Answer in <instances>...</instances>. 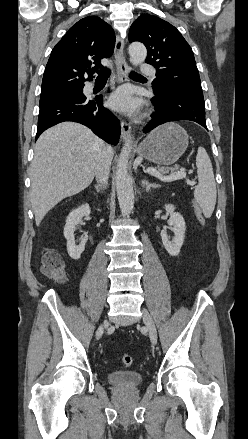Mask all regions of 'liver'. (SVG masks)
Listing matches in <instances>:
<instances>
[{
	"instance_id": "6515ba94",
	"label": "liver",
	"mask_w": 248,
	"mask_h": 439,
	"mask_svg": "<svg viewBox=\"0 0 248 439\" xmlns=\"http://www.w3.org/2000/svg\"><path fill=\"white\" fill-rule=\"evenodd\" d=\"M105 147L89 128L74 122L42 133L30 170V201L38 226L60 201L91 184Z\"/></svg>"
}]
</instances>
